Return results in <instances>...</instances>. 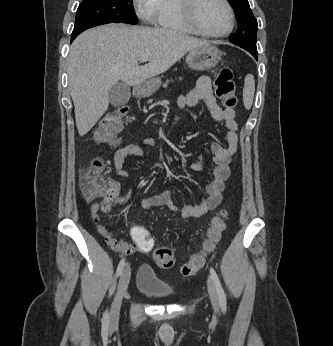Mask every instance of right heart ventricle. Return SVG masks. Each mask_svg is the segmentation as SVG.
<instances>
[{
    "mask_svg": "<svg viewBox=\"0 0 333 346\" xmlns=\"http://www.w3.org/2000/svg\"><path fill=\"white\" fill-rule=\"evenodd\" d=\"M155 22L163 29L182 33H195L183 17L178 0H162Z\"/></svg>",
    "mask_w": 333,
    "mask_h": 346,
    "instance_id": "1",
    "label": "right heart ventricle"
}]
</instances>
